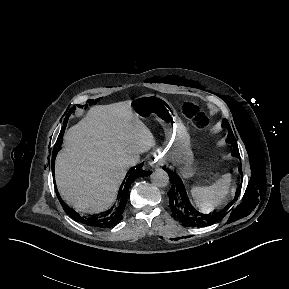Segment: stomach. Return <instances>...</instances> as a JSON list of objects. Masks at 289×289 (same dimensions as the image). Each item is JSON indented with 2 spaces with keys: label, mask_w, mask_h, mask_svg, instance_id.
Here are the masks:
<instances>
[{
  "label": "stomach",
  "mask_w": 289,
  "mask_h": 289,
  "mask_svg": "<svg viewBox=\"0 0 289 289\" xmlns=\"http://www.w3.org/2000/svg\"><path fill=\"white\" fill-rule=\"evenodd\" d=\"M131 105L139 119L153 116L161 124L165 132V158L190 174L195 164L190 136L172 104L158 96L145 95Z\"/></svg>",
  "instance_id": "stomach-1"
}]
</instances>
